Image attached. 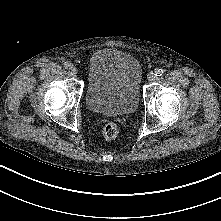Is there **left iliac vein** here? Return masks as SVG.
I'll use <instances>...</instances> for the list:
<instances>
[{"instance_id": "1", "label": "left iliac vein", "mask_w": 221, "mask_h": 221, "mask_svg": "<svg viewBox=\"0 0 221 221\" xmlns=\"http://www.w3.org/2000/svg\"><path fill=\"white\" fill-rule=\"evenodd\" d=\"M147 79H148L149 81H154V80L156 79L155 73L150 72V73L147 75Z\"/></svg>"}]
</instances>
